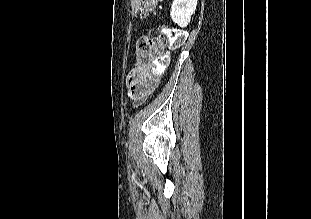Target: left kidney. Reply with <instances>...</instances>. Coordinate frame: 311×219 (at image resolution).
<instances>
[{"label": "left kidney", "instance_id": "obj_1", "mask_svg": "<svg viewBox=\"0 0 311 219\" xmlns=\"http://www.w3.org/2000/svg\"><path fill=\"white\" fill-rule=\"evenodd\" d=\"M198 0H173L170 16L174 23L186 27L196 11Z\"/></svg>", "mask_w": 311, "mask_h": 219}]
</instances>
